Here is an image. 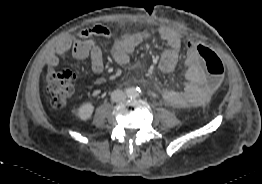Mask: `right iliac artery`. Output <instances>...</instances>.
I'll return each mask as SVG.
<instances>
[{"label":"right iliac artery","instance_id":"right-iliac-artery-1","mask_svg":"<svg viewBox=\"0 0 262 184\" xmlns=\"http://www.w3.org/2000/svg\"><path fill=\"white\" fill-rule=\"evenodd\" d=\"M125 93H126L127 95H131V94H132V90H131V89H125Z\"/></svg>","mask_w":262,"mask_h":184}]
</instances>
